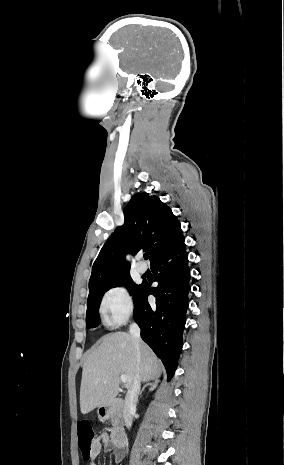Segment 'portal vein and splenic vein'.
Here are the masks:
<instances>
[{"label": "portal vein and splenic vein", "mask_w": 284, "mask_h": 465, "mask_svg": "<svg viewBox=\"0 0 284 465\" xmlns=\"http://www.w3.org/2000/svg\"><path fill=\"white\" fill-rule=\"evenodd\" d=\"M122 383H127V375H120Z\"/></svg>", "instance_id": "1"}]
</instances>
